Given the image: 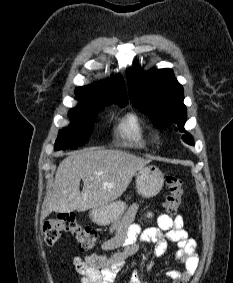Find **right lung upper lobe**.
Masks as SVG:
<instances>
[{
  "label": "right lung upper lobe",
  "instance_id": "cb5924a9",
  "mask_svg": "<svg viewBox=\"0 0 233 283\" xmlns=\"http://www.w3.org/2000/svg\"><path fill=\"white\" fill-rule=\"evenodd\" d=\"M84 106H104L110 103L123 105L127 103L125 85L121 76L104 81L102 84H94L93 87H80L75 91Z\"/></svg>",
  "mask_w": 233,
  "mask_h": 283
}]
</instances>
